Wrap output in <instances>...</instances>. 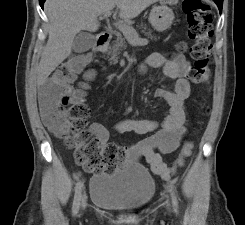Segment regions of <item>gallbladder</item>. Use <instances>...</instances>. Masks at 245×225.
<instances>
[{"label": "gallbladder", "mask_w": 245, "mask_h": 225, "mask_svg": "<svg viewBox=\"0 0 245 225\" xmlns=\"http://www.w3.org/2000/svg\"><path fill=\"white\" fill-rule=\"evenodd\" d=\"M95 38L88 32H80L73 41V50L76 53H84L93 47Z\"/></svg>", "instance_id": "obj_1"}]
</instances>
